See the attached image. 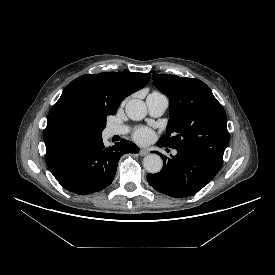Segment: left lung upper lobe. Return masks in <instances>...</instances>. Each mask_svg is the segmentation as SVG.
Here are the masks:
<instances>
[{
	"mask_svg": "<svg viewBox=\"0 0 275 275\" xmlns=\"http://www.w3.org/2000/svg\"><path fill=\"white\" fill-rule=\"evenodd\" d=\"M155 86L170 100V119L159 144L198 153L223 163L229 143L227 117L222 105L202 81L153 74Z\"/></svg>",
	"mask_w": 275,
	"mask_h": 275,
	"instance_id": "5c2ea615",
	"label": "left lung upper lobe"
}]
</instances>
